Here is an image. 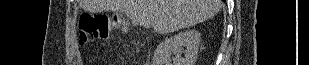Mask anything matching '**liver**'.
Instances as JSON below:
<instances>
[{"label": "liver", "mask_w": 309, "mask_h": 65, "mask_svg": "<svg viewBox=\"0 0 309 65\" xmlns=\"http://www.w3.org/2000/svg\"><path fill=\"white\" fill-rule=\"evenodd\" d=\"M88 12H124L135 25L166 34L214 17L221 0H81Z\"/></svg>", "instance_id": "1"}]
</instances>
